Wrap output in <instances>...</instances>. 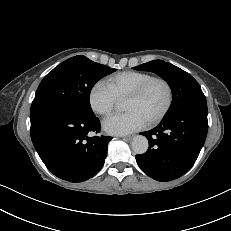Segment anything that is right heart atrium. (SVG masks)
Wrapping results in <instances>:
<instances>
[{"instance_id": "obj_1", "label": "right heart atrium", "mask_w": 231, "mask_h": 231, "mask_svg": "<svg viewBox=\"0 0 231 231\" xmlns=\"http://www.w3.org/2000/svg\"><path fill=\"white\" fill-rule=\"evenodd\" d=\"M117 101L116 95L103 81L96 82L88 94L90 108L101 116L110 114L115 108Z\"/></svg>"}]
</instances>
